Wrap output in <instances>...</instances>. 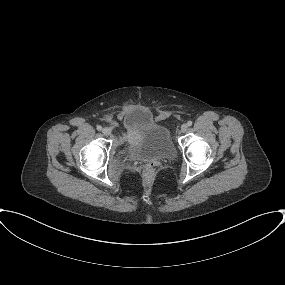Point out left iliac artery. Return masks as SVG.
<instances>
[{
    "mask_svg": "<svg viewBox=\"0 0 285 285\" xmlns=\"http://www.w3.org/2000/svg\"><path fill=\"white\" fill-rule=\"evenodd\" d=\"M187 125H188V126H192V121H188V122H187Z\"/></svg>",
    "mask_w": 285,
    "mask_h": 285,
    "instance_id": "44dca946",
    "label": "left iliac artery"
}]
</instances>
